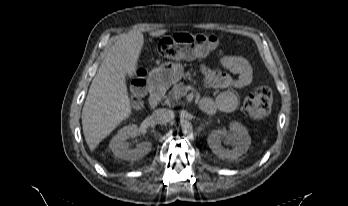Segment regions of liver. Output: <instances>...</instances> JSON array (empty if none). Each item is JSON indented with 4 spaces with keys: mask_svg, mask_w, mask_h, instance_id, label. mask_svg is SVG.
Segmentation results:
<instances>
[{
    "mask_svg": "<svg viewBox=\"0 0 348 206\" xmlns=\"http://www.w3.org/2000/svg\"><path fill=\"white\" fill-rule=\"evenodd\" d=\"M166 32L160 29L150 35L158 37ZM143 44L144 37L139 31L119 35L92 80L81 116L91 151L132 113L126 76H134Z\"/></svg>",
    "mask_w": 348,
    "mask_h": 206,
    "instance_id": "obj_1",
    "label": "liver"
}]
</instances>
